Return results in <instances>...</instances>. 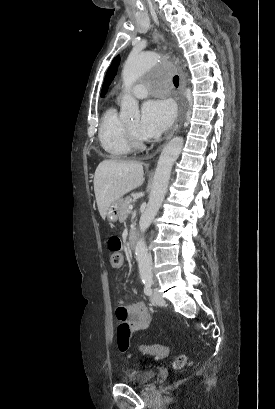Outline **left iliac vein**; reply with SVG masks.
<instances>
[{"mask_svg": "<svg viewBox=\"0 0 275 409\" xmlns=\"http://www.w3.org/2000/svg\"><path fill=\"white\" fill-rule=\"evenodd\" d=\"M150 300L152 303L157 304L158 306H164L165 305V300L164 298L161 296V294L159 293V291L157 289L153 290V293L150 297Z\"/></svg>", "mask_w": 275, "mask_h": 409, "instance_id": "left-iliac-vein-1", "label": "left iliac vein"}]
</instances>
